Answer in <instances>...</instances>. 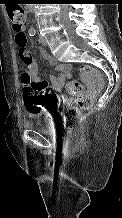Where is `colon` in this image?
<instances>
[{"label":"colon","mask_w":122,"mask_h":218,"mask_svg":"<svg viewBox=\"0 0 122 218\" xmlns=\"http://www.w3.org/2000/svg\"><path fill=\"white\" fill-rule=\"evenodd\" d=\"M7 11L12 22V27L16 32L15 43L19 51V56L25 62L29 60V54L26 49L28 39L22 31L26 20L25 11L18 5H9ZM79 72L82 79L87 83H92L93 86L89 87V91H84L81 83L77 80H69L64 83L65 91L74 97L76 102V106L68 107L64 113L65 125L69 131L74 128L79 110H88L91 108L95 92L101 90L103 87V77L97 68L83 65L80 67ZM21 81L24 85L23 94L26 109L31 113L42 112L41 107L34 102V94L37 86L33 84L28 70L21 74Z\"/></svg>","instance_id":"1"}]
</instances>
